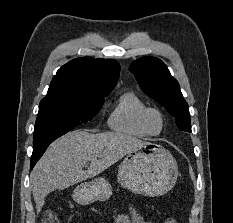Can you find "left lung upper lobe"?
<instances>
[{"instance_id":"left-lung-upper-lobe-1","label":"left lung upper lobe","mask_w":233,"mask_h":223,"mask_svg":"<svg viewBox=\"0 0 233 223\" xmlns=\"http://www.w3.org/2000/svg\"><path fill=\"white\" fill-rule=\"evenodd\" d=\"M129 70L135 75L142 91L176 118L177 127L191 132L188 104L166 65L157 58L147 56L134 61Z\"/></svg>"}]
</instances>
